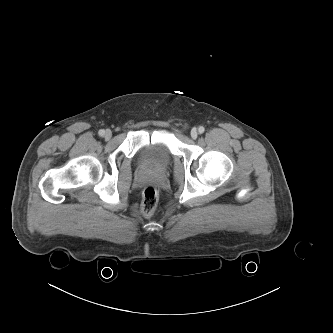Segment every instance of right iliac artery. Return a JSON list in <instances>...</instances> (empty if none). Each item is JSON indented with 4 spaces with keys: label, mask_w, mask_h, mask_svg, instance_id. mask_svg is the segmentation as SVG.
<instances>
[{
    "label": "right iliac artery",
    "mask_w": 333,
    "mask_h": 333,
    "mask_svg": "<svg viewBox=\"0 0 333 333\" xmlns=\"http://www.w3.org/2000/svg\"><path fill=\"white\" fill-rule=\"evenodd\" d=\"M98 134H99L100 136H103V135L105 134V131H104L103 129H101V130H99Z\"/></svg>",
    "instance_id": "right-iliac-artery-1"
}]
</instances>
